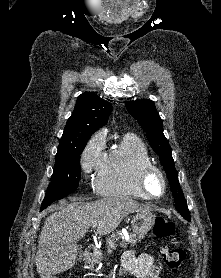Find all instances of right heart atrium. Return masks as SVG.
<instances>
[{"label": "right heart atrium", "instance_id": "1", "mask_svg": "<svg viewBox=\"0 0 221 278\" xmlns=\"http://www.w3.org/2000/svg\"><path fill=\"white\" fill-rule=\"evenodd\" d=\"M105 136L102 133L94 134L85 145L80 163L86 175L96 173L105 157Z\"/></svg>", "mask_w": 221, "mask_h": 278}]
</instances>
